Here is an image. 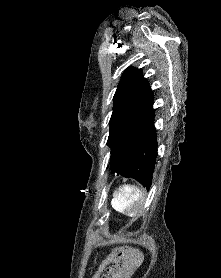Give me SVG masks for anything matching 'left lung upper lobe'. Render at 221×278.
<instances>
[{"instance_id": "5c2ea615", "label": "left lung upper lobe", "mask_w": 221, "mask_h": 278, "mask_svg": "<svg viewBox=\"0 0 221 278\" xmlns=\"http://www.w3.org/2000/svg\"><path fill=\"white\" fill-rule=\"evenodd\" d=\"M152 101L153 93L149 83L143 78L141 70L127 68L114 95L113 113L107 141L111 152Z\"/></svg>"}]
</instances>
